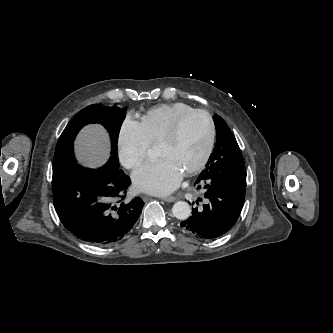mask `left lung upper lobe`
<instances>
[{"instance_id":"1","label":"left lung upper lobe","mask_w":333,"mask_h":333,"mask_svg":"<svg viewBox=\"0 0 333 333\" xmlns=\"http://www.w3.org/2000/svg\"><path fill=\"white\" fill-rule=\"evenodd\" d=\"M213 120L217 142L203 171L210 173L215 170L221 174L244 172V159L233 133L220 116L215 115Z\"/></svg>"}]
</instances>
